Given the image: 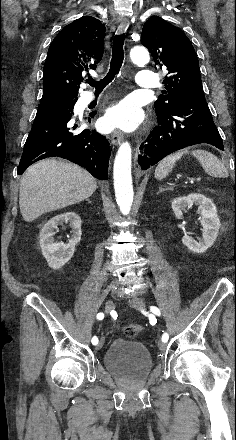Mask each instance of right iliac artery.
I'll return each mask as SVG.
<instances>
[{
	"label": "right iliac artery",
	"mask_w": 236,
	"mask_h": 440,
	"mask_svg": "<svg viewBox=\"0 0 236 440\" xmlns=\"http://www.w3.org/2000/svg\"><path fill=\"white\" fill-rule=\"evenodd\" d=\"M103 318H104V314H103L102 312H100V313L97 314V319H98V320H102ZM91 342H92L93 345L98 344V338H97L96 336H94V337L92 338Z\"/></svg>",
	"instance_id": "right-iliac-artery-1"
}]
</instances>
